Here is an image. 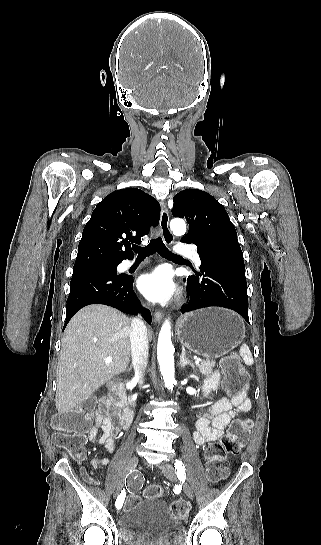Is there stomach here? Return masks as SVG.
Here are the masks:
<instances>
[{"label": "stomach", "instance_id": "0dacf381", "mask_svg": "<svg viewBox=\"0 0 321 545\" xmlns=\"http://www.w3.org/2000/svg\"><path fill=\"white\" fill-rule=\"evenodd\" d=\"M176 329L183 347L210 359L227 355L245 339L241 317L221 307L186 313L179 319Z\"/></svg>", "mask_w": 321, "mask_h": 545}]
</instances>
